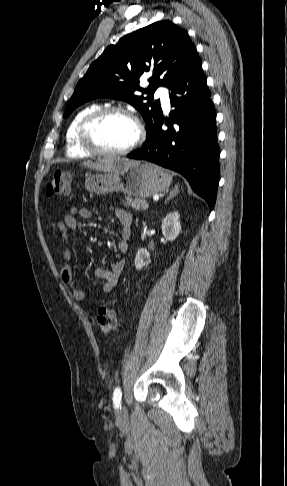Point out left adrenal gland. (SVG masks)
Listing matches in <instances>:
<instances>
[{
  "label": "left adrenal gland",
  "mask_w": 287,
  "mask_h": 486,
  "mask_svg": "<svg viewBox=\"0 0 287 486\" xmlns=\"http://www.w3.org/2000/svg\"><path fill=\"white\" fill-rule=\"evenodd\" d=\"M178 192H179V190H178V185H176V186L174 187V189H173V190L170 192L169 196L166 198V200H165V204H167V202H168V201H169L171 198H173L175 195H177V193H178Z\"/></svg>",
  "instance_id": "1"
}]
</instances>
